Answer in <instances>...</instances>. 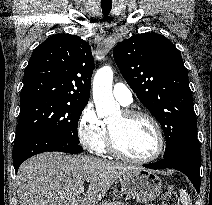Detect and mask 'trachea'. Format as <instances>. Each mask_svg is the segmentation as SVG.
<instances>
[{"instance_id":"obj_1","label":"trachea","mask_w":212,"mask_h":205,"mask_svg":"<svg viewBox=\"0 0 212 205\" xmlns=\"http://www.w3.org/2000/svg\"><path fill=\"white\" fill-rule=\"evenodd\" d=\"M102 12L105 16L109 15L111 9H112V4H101Z\"/></svg>"}]
</instances>
